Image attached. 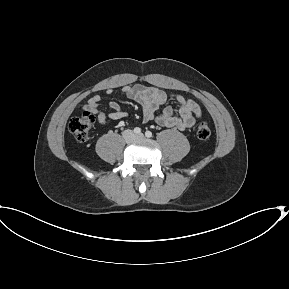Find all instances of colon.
<instances>
[{
  "instance_id": "5ec220e1",
  "label": "colon",
  "mask_w": 289,
  "mask_h": 289,
  "mask_svg": "<svg viewBox=\"0 0 289 289\" xmlns=\"http://www.w3.org/2000/svg\"><path fill=\"white\" fill-rule=\"evenodd\" d=\"M95 118L89 111H83L73 116L68 124V129L74 138L79 142H84L89 135L90 129L94 124ZM197 137L200 140H208L211 136V130L206 122H201L197 127Z\"/></svg>"
}]
</instances>
